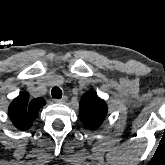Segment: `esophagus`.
I'll return each mask as SVG.
<instances>
[{
  "instance_id": "34e87169",
  "label": "esophagus",
  "mask_w": 165,
  "mask_h": 165,
  "mask_svg": "<svg viewBox=\"0 0 165 165\" xmlns=\"http://www.w3.org/2000/svg\"><path fill=\"white\" fill-rule=\"evenodd\" d=\"M56 103H64V99L55 100Z\"/></svg>"
}]
</instances>
